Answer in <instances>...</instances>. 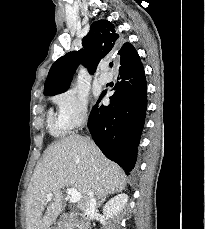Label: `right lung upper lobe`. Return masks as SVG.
Returning a JSON list of instances; mask_svg holds the SVG:
<instances>
[{
	"label": "right lung upper lobe",
	"instance_id": "right-lung-upper-lobe-1",
	"mask_svg": "<svg viewBox=\"0 0 205 229\" xmlns=\"http://www.w3.org/2000/svg\"><path fill=\"white\" fill-rule=\"evenodd\" d=\"M118 38L119 35L116 34L111 22L107 20L94 22L82 40L84 48L65 54L52 65L44 85V95L54 96L65 92L80 63L93 74L101 59L115 52ZM117 54L120 56L119 70L134 65L140 59L130 43H124Z\"/></svg>",
	"mask_w": 205,
	"mask_h": 229
}]
</instances>
